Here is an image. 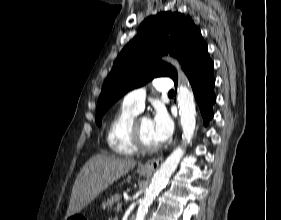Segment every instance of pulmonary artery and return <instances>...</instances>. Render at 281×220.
<instances>
[{
	"mask_svg": "<svg viewBox=\"0 0 281 220\" xmlns=\"http://www.w3.org/2000/svg\"><path fill=\"white\" fill-rule=\"evenodd\" d=\"M154 87L162 92L170 91L173 87V83L171 79L167 77H159L153 81ZM146 98V88L141 87L135 90H132L128 94L125 95L123 99V103L134 108L138 112H141L144 108Z\"/></svg>",
	"mask_w": 281,
	"mask_h": 220,
	"instance_id": "1",
	"label": "pulmonary artery"
}]
</instances>
